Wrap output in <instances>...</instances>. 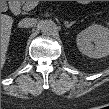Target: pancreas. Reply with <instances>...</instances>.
<instances>
[{
    "label": "pancreas",
    "instance_id": "pancreas-1",
    "mask_svg": "<svg viewBox=\"0 0 109 109\" xmlns=\"http://www.w3.org/2000/svg\"><path fill=\"white\" fill-rule=\"evenodd\" d=\"M26 1H23L22 4L25 5Z\"/></svg>",
    "mask_w": 109,
    "mask_h": 109
}]
</instances>
